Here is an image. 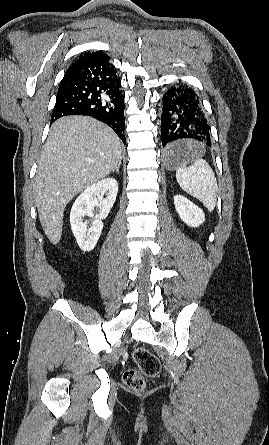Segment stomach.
Masks as SVG:
<instances>
[{
    "instance_id": "0dacf381",
    "label": "stomach",
    "mask_w": 269,
    "mask_h": 445,
    "mask_svg": "<svg viewBox=\"0 0 269 445\" xmlns=\"http://www.w3.org/2000/svg\"><path fill=\"white\" fill-rule=\"evenodd\" d=\"M199 145L196 142H192V146L189 147L182 145L181 148L175 153H165L163 161L168 170H174L181 165H186L193 161L197 157Z\"/></svg>"
}]
</instances>
